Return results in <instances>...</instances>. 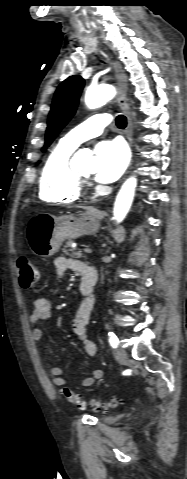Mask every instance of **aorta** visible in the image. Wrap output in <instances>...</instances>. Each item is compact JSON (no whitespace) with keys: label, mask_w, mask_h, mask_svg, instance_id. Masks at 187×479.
I'll return each mask as SVG.
<instances>
[{"label":"aorta","mask_w":187,"mask_h":479,"mask_svg":"<svg viewBox=\"0 0 187 479\" xmlns=\"http://www.w3.org/2000/svg\"><path fill=\"white\" fill-rule=\"evenodd\" d=\"M115 88L111 85H100L96 87H89L85 93V104L89 109H96L105 105L115 96ZM76 163L88 170L89 172H96L99 170V162L94 157H86L82 151L76 153L74 157ZM137 180L135 177L128 178L122 185L113 209V219L120 223L126 217L131 204L133 202Z\"/></svg>","instance_id":"1"}]
</instances>
